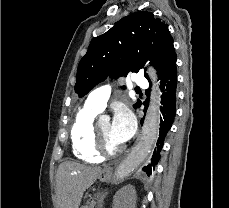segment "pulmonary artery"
<instances>
[{
    "mask_svg": "<svg viewBox=\"0 0 229 208\" xmlns=\"http://www.w3.org/2000/svg\"><path fill=\"white\" fill-rule=\"evenodd\" d=\"M132 77H140V72H132ZM134 82L137 83L138 87H147V79L146 78H135ZM112 90V84L107 83L105 85H102L100 87L95 88L87 97L85 101V106H87L90 109H93L97 112H102L105 107L106 103L110 97V93Z\"/></svg>",
    "mask_w": 229,
    "mask_h": 208,
    "instance_id": "obj_1",
    "label": "pulmonary artery"
}]
</instances>
